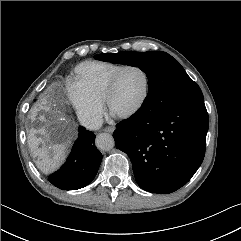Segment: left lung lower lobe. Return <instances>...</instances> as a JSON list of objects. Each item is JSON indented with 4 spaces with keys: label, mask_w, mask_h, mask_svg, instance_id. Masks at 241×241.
Here are the masks:
<instances>
[{
    "label": "left lung lower lobe",
    "mask_w": 241,
    "mask_h": 241,
    "mask_svg": "<svg viewBox=\"0 0 241 241\" xmlns=\"http://www.w3.org/2000/svg\"><path fill=\"white\" fill-rule=\"evenodd\" d=\"M209 126L204 99L170 103L163 90H150L142 107L116 125V147L131 159L138 185L172 193L201 165Z\"/></svg>",
    "instance_id": "0a47b994"
}]
</instances>
